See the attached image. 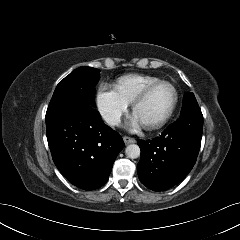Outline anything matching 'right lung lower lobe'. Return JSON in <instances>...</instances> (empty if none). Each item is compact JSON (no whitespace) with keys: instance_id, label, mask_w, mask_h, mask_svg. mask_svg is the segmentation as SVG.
I'll list each match as a JSON object with an SVG mask.
<instances>
[{"instance_id":"1","label":"right lung lower lobe","mask_w":240,"mask_h":240,"mask_svg":"<svg viewBox=\"0 0 240 240\" xmlns=\"http://www.w3.org/2000/svg\"><path fill=\"white\" fill-rule=\"evenodd\" d=\"M45 118L48 144L60 172L84 190L103 186L124 147L120 134L89 105L47 111Z\"/></svg>"}]
</instances>
